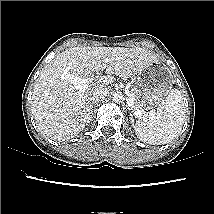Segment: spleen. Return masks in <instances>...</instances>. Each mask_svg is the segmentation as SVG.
Wrapping results in <instances>:
<instances>
[{"label":"spleen","instance_id":"3e777b00","mask_svg":"<svg viewBox=\"0 0 214 214\" xmlns=\"http://www.w3.org/2000/svg\"><path fill=\"white\" fill-rule=\"evenodd\" d=\"M185 119L183 98L178 89H172L156 113L142 117L135 123L137 137L149 144L171 142L181 131Z\"/></svg>","mask_w":214,"mask_h":214}]
</instances>
